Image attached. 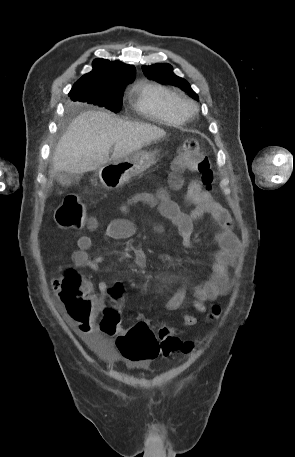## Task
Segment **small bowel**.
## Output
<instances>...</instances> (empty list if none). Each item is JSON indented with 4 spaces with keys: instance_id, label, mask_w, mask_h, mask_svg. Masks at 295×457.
<instances>
[{
    "instance_id": "1",
    "label": "small bowel",
    "mask_w": 295,
    "mask_h": 457,
    "mask_svg": "<svg viewBox=\"0 0 295 457\" xmlns=\"http://www.w3.org/2000/svg\"><path fill=\"white\" fill-rule=\"evenodd\" d=\"M187 198L194 203L193 210L187 214L180 207L164 194H153L150 192H140L115 209V212L125 213L131 207L143 204L156 208L164 217L168 218L176 227L183 239V246H192L191 235L193 233L194 222L201 217H208L214 221L220 230L215 235V242L218 250L213 254L212 275L209 280L197 286L194 290L195 299L192 304L193 312L183 316V324L191 327L198 322L197 314L206 312V302L217 300L224 296L229 290L228 267L238 248V239L233 230L232 218L228 211L216 202L211 193L206 191L199 181L189 183L186 192ZM136 233V226L127 218H117L109 222L103 235L109 239L124 240L133 237ZM92 245V239L83 235L78 238V248L72 254V260L78 267H86L93 271L100 269L104 261L102 256L90 258L88 250ZM134 261L137 265L145 267L147 256L142 248L137 247L134 251ZM55 288V280L53 281ZM100 294L109 290L106 281H100L97 285ZM100 294L95 295L94 303L97 309L102 307L103 299ZM186 299V290L178 289L174 295L166 302L165 308L174 311L180 308ZM143 321V318H140ZM69 322L82 338H102L100 329L94 324L92 318L87 321L74 319L69 316ZM122 334V333H121ZM132 362L146 363L151 360H129Z\"/></svg>"
}]
</instances>
